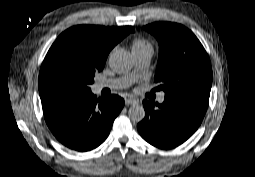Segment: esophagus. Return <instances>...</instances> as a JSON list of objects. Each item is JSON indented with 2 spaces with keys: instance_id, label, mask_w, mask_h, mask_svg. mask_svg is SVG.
Here are the masks:
<instances>
[{
  "instance_id": "obj_1",
  "label": "esophagus",
  "mask_w": 255,
  "mask_h": 177,
  "mask_svg": "<svg viewBox=\"0 0 255 177\" xmlns=\"http://www.w3.org/2000/svg\"><path fill=\"white\" fill-rule=\"evenodd\" d=\"M139 101L135 98L132 97H127L125 98V104L129 105V104H137Z\"/></svg>"
}]
</instances>
